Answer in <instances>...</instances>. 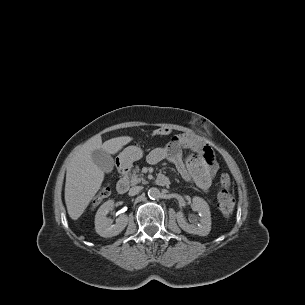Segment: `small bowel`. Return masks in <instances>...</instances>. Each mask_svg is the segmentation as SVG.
<instances>
[{
  "label": "small bowel",
  "instance_id": "obj_1",
  "mask_svg": "<svg viewBox=\"0 0 305 305\" xmlns=\"http://www.w3.org/2000/svg\"><path fill=\"white\" fill-rule=\"evenodd\" d=\"M184 150L189 153L184 155ZM150 164L162 161L172 163L180 175L203 191H208L218 170L212 148L200 137L190 133L174 135L164 146L153 149L148 157Z\"/></svg>",
  "mask_w": 305,
  "mask_h": 305
}]
</instances>
